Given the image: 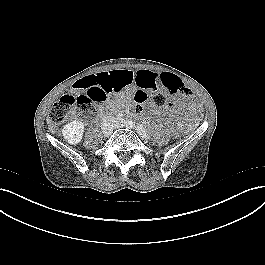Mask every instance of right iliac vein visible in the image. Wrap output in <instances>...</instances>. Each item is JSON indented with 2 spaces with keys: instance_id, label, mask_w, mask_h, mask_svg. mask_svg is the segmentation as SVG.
<instances>
[{
  "instance_id": "obj_1",
  "label": "right iliac vein",
  "mask_w": 265,
  "mask_h": 265,
  "mask_svg": "<svg viewBox=\"0 0 265 265\" xmlns=\"http://www.w3.org/2000/svg\"><path fill=\"white\" fill-rule=\"evenodd\" d=\"M114 122H115L114 119H110V120H109V123L106 124V125L103 127L102 132H103V135H104V136L107 137V136H109V135L112 133Z\"/></svg>"
}]
</instances>
